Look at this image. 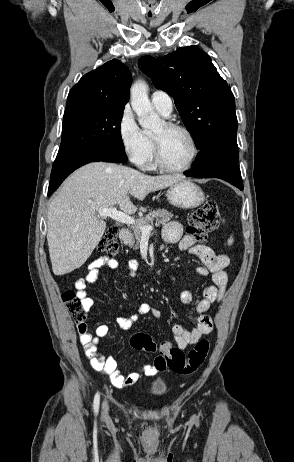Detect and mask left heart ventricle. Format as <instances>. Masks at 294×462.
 Instances as JSON below:
<instances>
[{
    "instance_id": "obj_1",
    "label": "left heart ventricle",
    "mask_w": 294,
    "mask_h": 462,
    "mask_svg": "<svg viewBox=\"0 0 294 462\" xmlns=\"http://www.w3.org/2000/svg\"><path fill=\"white\" fill-rule=\"evenodd\" d=\"M154 135L160 138L163 158L172 167L184 166L192 154V145L188 136L180 130H168L162 124Z\"/></svg>"
}]
</instances>
